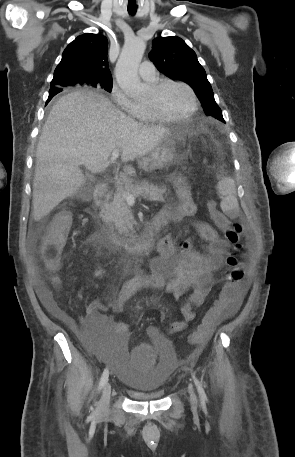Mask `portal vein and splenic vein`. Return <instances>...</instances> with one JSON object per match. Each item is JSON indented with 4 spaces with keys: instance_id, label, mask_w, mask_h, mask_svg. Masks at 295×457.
Segmentation results:
<instances>
[{
    "instance_id": "18ae733b",
    "label": "portal vein and splenic vein",
    "mask_w": 295,
    "mask_h": 457,
    "mask_svg": "<svg viewBox=\"0 0 295 457\" xmlns=\"http://www.w3.org/2000/svg\"><path fill=\"white\" fill-rule=\"evenodd\" d=\"M119 153H120V150H119V149L114 150V151L112 152V157H111V160H110V161H111V162L115 161V160L118 158ZM123 196H124V198H125V200H126L127 202L132 203V202L135 201V197L137 196V194H123Z\"/></svg>"
}]
</instances>
